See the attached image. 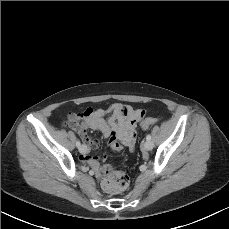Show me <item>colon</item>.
Wrapping results in <instances>:
<instances>
[{
  "label": "colon",
  "mask_w": 229,
  "mask_h": 229,
  "mask_svg": "<svg viewBox=\"0 0 229 229\" xmlns=\"http://www.w3.org/2000/svg\"><path fill=\"white\" fill-rule=\"evenodd\" d=\"M145 111L141 110L139 117L143 118ZM157 121L156 118H146L141 122L142 127L147 128L153 125ZM135 136V135H134ZM116 135L113 133L111 135L110 141H114ZM102 186L107 193L110 194H119L124 191L129 184V177L121 171H115L110 167H106L102 174Z\"/></svg>",
  "instance_id": "obj_1"
}]
</instances>
